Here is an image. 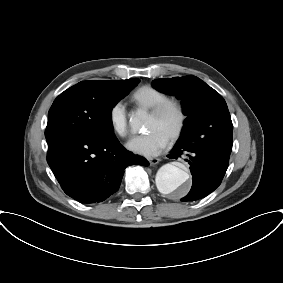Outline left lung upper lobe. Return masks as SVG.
<instances>
[{
	"label": "left lung upper lobe",
	"instance_id": "5c2ea615",
	"mask_svg": "<svg viewBox=\"0 0 283 283\" xmlns=\"http://www.w3.org/2000/svg\"><path fill=\"white\" fill-rule=\"evenodd\" d=\"M153 87L182 100V133L194 129L200 142L218 152L232 150L233 125L223 97L196 76L155 79Z\"/></svg>",
	"mask_w": 283,
	"mask_h": 283
}]
</instances>
